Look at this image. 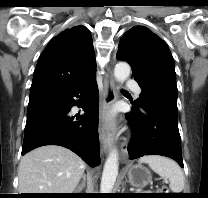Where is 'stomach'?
<instances>
[{"label": "stomach", "mask_w": 208, "mask_h": 198, "mask_svg": "<svg viewBox=\"0 0 208 198\" xmlns=\"http://www.w3.org/2000/svg\"><path fill=\"white\" fill-rule=\"evenodd\" d=\"M128 181L134 187L143 188L150 183L151 173L140 164L133 165L128 170Z\"/></svg>", "instance_id": "0dacf381"}]
</instances>
